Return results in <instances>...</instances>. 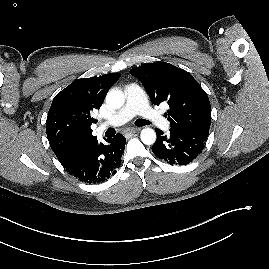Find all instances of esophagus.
Masks as SVG:
<instances>
[{"label":"esophagus","mask_w":269,"mask_h":269,"mask_svg":"<svg viewBox=\"0 0 269 269\" xmlns=\"http://www.w3.org/2000/svg\"><path fill=\"white\" fill-rule=\"evenodd\" d=\"M139 130H140L139 128H131V129H128L126 132L132 134V133L138 132Z\"/></svg>","instance_id":"1"}]
</instances>
